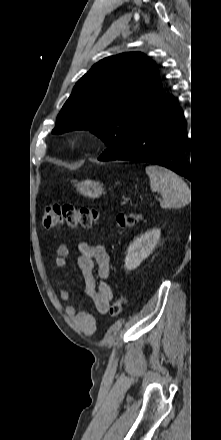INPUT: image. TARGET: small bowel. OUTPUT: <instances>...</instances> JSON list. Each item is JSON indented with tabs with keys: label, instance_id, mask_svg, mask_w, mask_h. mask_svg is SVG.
<instances>
[{
	"label": "small bowel",
	"instance_id": "obj_1",
	"mask_svg": "<svg viewBox=\"0 0 221 440\" xmlns=\"http://www.w3.org/2000/svg\"><path fill=\"white\" fill-rule=\"evenodd\" d=\"M79 257L78 268L83 278L84 291L91 299L97 313L101 316L108 314L110 302L113 299V291L108 282L110 275V258L102 245H91L81 242L78 245ZM69 248L66 244L58 247L55 265L60 269H67L69 264L66 260ZM96 273V274H95ZM59 295L62 300L70 299V292L61 288ZM66 314L70 316L74 324L86 335L91 336L97 331L96 318L86 312L78 311L74 305L66 307Z\"/></svg>",
	"mask_w": 221,
	"mask_h": 440
}]
</instances>
